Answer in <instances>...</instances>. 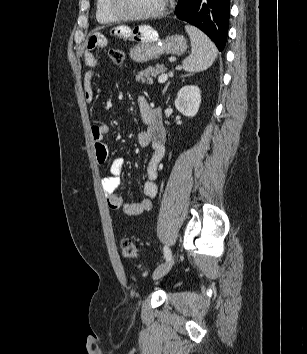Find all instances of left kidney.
Here are the masks:
<instances>
[{
  "instance_id": "1",
  "label": "left kidney",
  "mask_w": 307,
  "mask_h": 354,
  "mask_svg": "<svg viewBox=\"0 0 307 354\" xmlns=\"http://www.w3.org/2000/svg\"><path fill=\"white\" fill-rule=\"evenodd\" d=\"M201 104V91L197 86H184L175 100L176 109L187 117H194Z\"/></svg>"
}]
</instances>
